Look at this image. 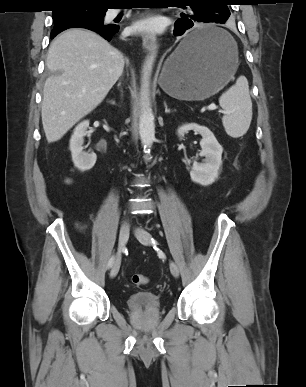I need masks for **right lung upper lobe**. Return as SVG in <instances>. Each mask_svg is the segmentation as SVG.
Returning <instances> with one entry per match:
<instances>
[{"label":"right lung upper lobe","instance_id":"obj_1","mask_svg":"<svg viewBox=\"0 0 306 387\" xmlns=\"http://www.w3.org/2000/svg\"><path fill=\"white\" fill-rule=\"evenodd\" d=\"M58 1V9L78 5V6H92V7H100L106 9V6L111 4V0H57ZM56 9V10H58ZM55 10V11H56Z\"/></svg>","mask_w":306,"mask_h":387}]
</instances>
